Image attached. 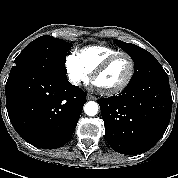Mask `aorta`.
<instances>
[{
	"label": "aorta",
	"mask_w": 178,
	"mask_h": 178,
	"mask_svg": "<svg viewBox=\"0 0 178 178\" xmlns=\"http://www.w3.org/2000/svg\"><path fill=\"white\" fill-rule=\"evenodd\" d=\"M84 112L88 116H95L98 113V104L94 101H89L84 106Z\"/></svg>",
	"instance_id": "1"
}]
</instances>
